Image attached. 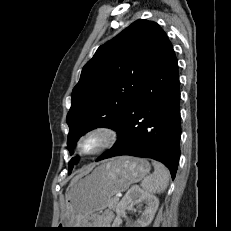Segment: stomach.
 Here are the masks:
<instances>
[{
  "mask_svg": "<svg viewBox=\"0 0 231 231\" xmlns=\"http://www.w3.org/2000/svg\"><path fill=\"white\" fill-rule=\"evenodd\" d=\"M149 171L150 164L146 159L130 156H119L96 164L90 172L69 185L62 228H87L80 225L86 223L92 213L107 208L112 196L142 180Z\"/></svg>",
  "mask_w": 231,
  "mask_h": 231,
  "instance_id": "obj_1",
  "label": "stomach"
}]
</instances>
